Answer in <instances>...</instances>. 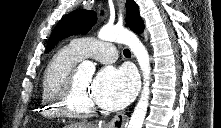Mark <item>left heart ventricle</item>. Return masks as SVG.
<instances>
[{"instance_id": "obj_1", "label": "left heart ventricle", "mask_w": 221, "mask_h": 128, "mask_svg": "<svg viewBox=\"0 0 221 128\" xmlns=\"http://www.w3.org/2000/svg\"><path fill=\"white\" fill-rule=\"evenodd\" d=\"M89 83V77L76 74V102L81 106L94 105L89 94Z\"/></svg>"}]
</instances>
